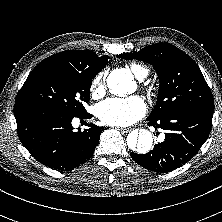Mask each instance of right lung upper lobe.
Instances as JSON below:
<instances>
[{
	"mask_svg": "<svg viewBox=\"0 0 222 222\" xmlns=\"http://www.w3.org/2000/svg\"><path fill=\"white\" fill-rule=\"evenodd\" d=\"M108 56L85 50L62 51L41 61L29 74L32 76L50 69H74L99 73L108 63Z\"/></svg>",
	"mask_w": 222,
	"mask_h": 222,
	"instance_id": "obj_1",
	"label": "right lung upper lobe"
}]
</instances>
